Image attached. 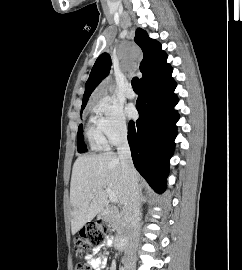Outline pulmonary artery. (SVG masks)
<instances>
[{"instance_id": "e3ab8cb5", "label": "pulmonary artery", "mask_w": 242, "mask_h": 270, "mask_svg": "<svg viewBox=\"0 0 242 270\" xmlns=\"http://www.w3.org/2000/svg\"><path fill=\"white\" fill-rule=\"evenodd\" d=\"M125 94L129 99H133L136 96V93L131 86L126 89Z\"/></svg>"}]
</instances>
